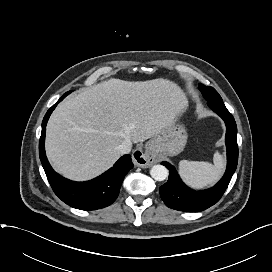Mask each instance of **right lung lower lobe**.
I'll return each instance as SVG.
<instances>
[{"mask_svg": "<svg viewBox=\"0 0 272 272\" xmlns=\"http://www.w3.org/2000/svg\"><path fill=\"white\" fill-rule=\"evenodd\" d=\"M61 97L46 113L42 122V132L39 142V156L55 194L67 205L81 210H96L112 204L118 197L125 175L133 168L130 155L122 156L113 167L99 177L86 182H74L57 174L50 166L45 154L46 124L50 114Z\"/></svg>", "mask_w": 272, "mask_h": 272, "instance_id": "obj_1", "label": "right lung lower lobe"}]
</instances>
